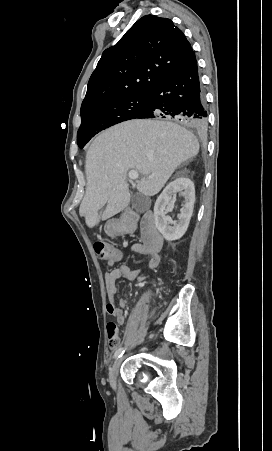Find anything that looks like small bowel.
<instances>
[{
    "instance_id": "c3829d8e",
    "label": "small bowel",
    "mask_w": 272,
    "mask_h": 451,
    "mask_svg": "<svg viewBox=\"0 0 272 451\" xmlns=\"http://www.w3.org/2000/svg\"><path fill=\"white\" fill-rule=\"evenodd\" d=\"M135 249L149 257V269L156 270L158 268L161 261L159 252L150 253L143 246H137ZM121 258V253H118L115 257L109 258L106 262L107 266L113 267L119 260H121ZM140 273L141 270L139 269L131 270L127 265H120L107 271L104 275V283L108 298L106 311L109 315L115 318L116 323L120 326L125 324V315L123 310L126 308L127 303L123 298H120L117 302L118 287L116 285V281L122 278L133 280L136 279Z\"/></svg>"
}]
</instances>
